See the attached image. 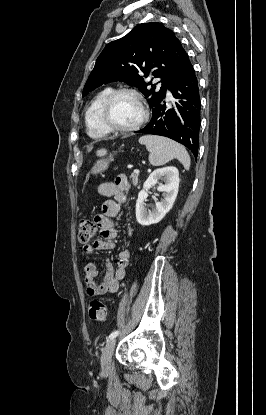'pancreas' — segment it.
<instances>
[{
	"mask_svg": "<svg viewBox=\"0 0 266 415\" xmlns=\"http://www.w3.org/2000/svg\"><path fill=\"white\" fill-rule=\"evenodd\" d=\"M138 174H131L130 179L132 180L133 185H137L138 184Z\"/></svg>",
	"mask_w": 266,
	"mask_h": 415,
	"instance_id": "pancreas-1",
	"label": "pancreas"
}]
</instances>
